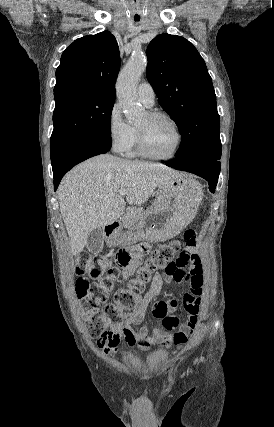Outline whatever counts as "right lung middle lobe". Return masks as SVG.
Instances as JSON below:
<instances>
[{
	"label": "right lung middle lobe",
	"mask_w": 274,
	"mask_h": 427,
	"mask_svg": "<svg viewBox=\"0 0 274 427\" xmlns=\"http://www.w3.org/2000/svg\"><path fill=\"white\" fill-rule=\"evenodd\" d=\"M115 96L67 98L55 105L50 140L51 163L70 148L89 139L111 140V113Z\"/></svg>",
	"instance_id": "1"
}]
</instances>
